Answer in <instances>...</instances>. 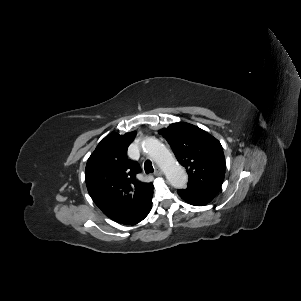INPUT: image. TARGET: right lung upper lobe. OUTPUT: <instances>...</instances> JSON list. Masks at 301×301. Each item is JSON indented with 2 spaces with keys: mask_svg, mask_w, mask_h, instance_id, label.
Listing matches in <instances>:
<instances>
[{
  "mask_svg": "<svg viewBox=\"0 0 301 301\" xmlns=\"http://www.w3.org/2000/svg\"><path fill=\"white\" fill-rule=\"evenodd\" d=\"M136 132L112 133L96 147L87 161L85 181L94 203L112 220L127 224L153 194L152 183H140L139 166L127 159V149Z\"/></svg>",
  "mask_w": 301,
  "mask_h": 301,
  "instance_id": "1",
  "label": "right lung upper lobe"
}]
</instances>
